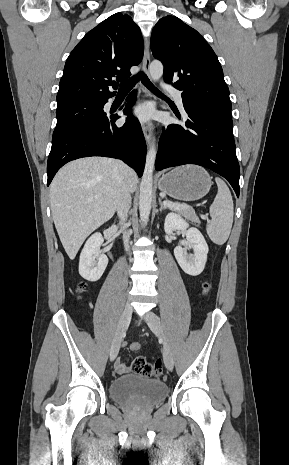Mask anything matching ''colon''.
Listing matches in <instances>:
<instances>
[{
    "label": "colon",
    "instance_id": "5ec220e1",
    "mask_svg": "<svg viewBox=\"0 0 289 465\" xmlns=\"http://www.w3.org/2000/svg\"><path fill=\"white\" fill-rule=\"evenodd\" d=\"M85 288V284H79L78 291L82 292ZM210 290V284L208 282L203 283V293L207 294ZM141 349L139 343H133L131 345V350L133 352H138ZM162 364L161 360H156L155 362H149L144 357L138 356L133 361V369L135 373L142 375L144 377H159L162 374Z\"/></svg>",
    "mask_w": 289,
    "mask_h": 465
}]
</instances>
